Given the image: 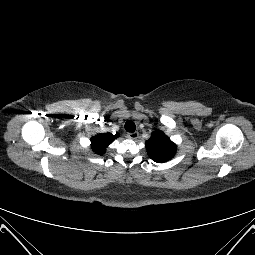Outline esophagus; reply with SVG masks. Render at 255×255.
Listing matches in <instances>:
<instances>
[{"mask_svg":"<svg viewBox=\"0 0 255 255\" xmlns=\"http://www.w3.org/2000/svg\"><path fill=\"white\" fill-rule=\"evenodd\" d=\"M138 137H139L138 132H133V133H128L127 134V138L132 139V140H136Z\"/></svg>","mask_w":255,"mask_h":255,"instance_id":"obj_1","label":"esophagus"}]
</instances>
